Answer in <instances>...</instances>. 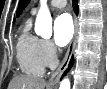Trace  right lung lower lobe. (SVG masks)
Here are the masks:
<instances>
[{
    "label": "right lung lower lobe",
    "instance_id": "right-lung-lower-lobe-1",
    "mask_svg": "<svg viewBox=\"0 0 107 89\" xmlns=\"http://www.w3.org/2000/svg\"><path fill=\"white\" fill-rule=\"evenodd\" d=\"M73 7L76 13H78V4H77V0H73ZM73 65V58H71L68 69L64 72L63 75H66V73L70 70V68Z\"/></svg>",
    "mask_w": 107,
    "mask_h": 89
}]
</instances>
